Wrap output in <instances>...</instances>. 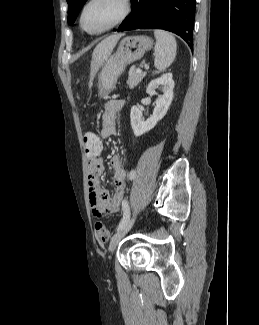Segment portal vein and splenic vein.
I'll use <instances>...</instances> for the list:
<instances>
[{"instance_id":"18ae733b","label":"portal vein and splenic vein","mask_w":259,"mask_h":325,"mask_svg":"<svg viewBox=\"0 0 259 325\" xmlns=\"http://www.w3.org/2000/svg\"><path fill=\"white\" fill-rule=\"evenodd\" d=\"M136 72H137V73H141L142 70H141L140 68H138V69L136 70Z\"/></svg>"}]
</instances>
